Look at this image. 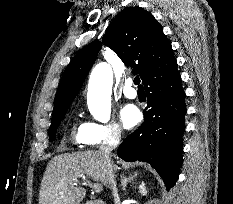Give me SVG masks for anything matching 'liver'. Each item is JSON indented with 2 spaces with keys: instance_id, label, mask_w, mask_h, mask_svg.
I'll return each instance as SVG.
<instances>
[{
  "instance_id": "1",
  "label": "liver",
  "mask_w": 233,
  "mask_h": 204,
  "mask_svg": "<svg viewBox=\"0 0 233 204\" xmlns=\"http://www.w3.org/2000/svg\"><path fill=\"white\" fill-rule=\"evenodd\" d=\"M113 161L100 151L64 153L52 158L45 170L39 193V204H80L85 196L75 186L85 175L109 188L108 169Z\"/></svg>"
}]
</instances>
